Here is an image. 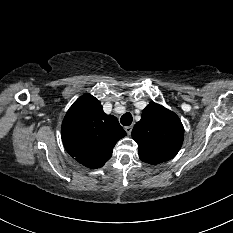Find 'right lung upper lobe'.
<instances>
[{"mask_svg": "<svg viewBox=\"0 0 233 233\" xmlns=\"http://www.w3.org/2000/svg\"><path fill=\"white\" fill-rule=\"evenodd\" d=\"M126 135L117 118L107 115L100 102L86 93L68 110L62 123V141L77 162L100 168L112 156L118 140Z\"/></svg>", "mask_w": 233, "mask_h": 233, "instance_id": "obj_1", "label": "right lung upper lobe"}]
</instances>
